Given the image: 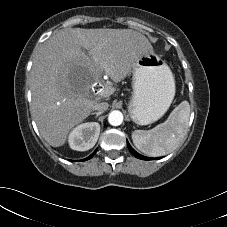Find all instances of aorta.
<instances>
[{
    "label": "aorta",
    "instance_id": "762f6f07",
    "mask_svg": "<svg viewBox=\"0 0 227 227\" xmlns=\"http://www.w3.org/2000/svg\"><path fill=\"white\" fill-rule=\"evenodd\" d=\"M108 121L112 126H119L123 122V114L118 110H114L109 114Z\"/></svg>",
    "mask_w": 227,
    "mask_h": 227
}]
</instances>
